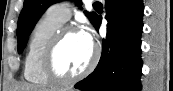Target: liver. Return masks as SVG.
I'll return each instance as SVG.
<instances>
[{
	"mask_svg": "<svg viewBox=\"0 0 173 91\" xmlns=\"http://www.w3.org/2000/svg\"><path fill=\"white\" fill-rule=\"evenodd\" d=\"M14 91H48V90H40L36 86L30 84H23L21 86H16Z\"/></svg>",
	"mask_w": 173,
	"mask_h": 91,
	"instance_id": "liver-1",
	"label": "liver"
}]
</instances>
